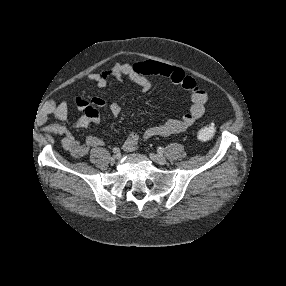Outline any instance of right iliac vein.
Here are the masks:
<instances>
[{
  "label": "right iliac vein",
  "mask_w": 286,
  "mask_h": 286,
  "mask_svg": "<svg viewBox=\"0 0 286 286\" xmlns=\"http://www.w3.org/2000/svg\"><path fill=\"white\" fill-rule=\"evenodd\" d=\"M117 158H118V156H116V155L112 156L111 159H110L111 163H112V164L115 163V161L117 160Z\"/></svg>",
  "instance_id": "1"
}]
</instances>
